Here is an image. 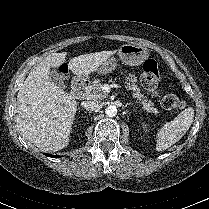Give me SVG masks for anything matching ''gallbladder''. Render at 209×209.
<instances>
[{"label":"gallbladder","mask_w":209,"mask_h":209,"mask_svg":"<svg viewBox=\"0 0 209 209\" xmlns=\"http://www.w3.org/2000/svg\"><path fill=\"white\" fill-rule=\"evenodd\" d=\"M49 77H50V80L56 84L57 86H60L62 88H65V85L63 83V80H62V77L61 75L57 72L56 69H51L50 70V73H49Z\"/></svg>","instance_id":"1"}]
</instances>
